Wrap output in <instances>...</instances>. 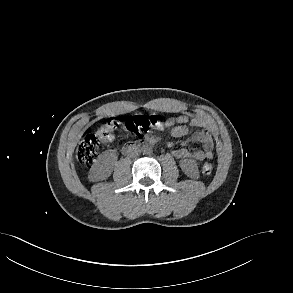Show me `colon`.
Wrapping results in <instances>:
<instances>
[{
    "mask_svg": "<svg viewBox=\"0 0 293 293\" xmlns=\"http://www.w3.org/2000/svg\"><path fill=\"white\" fill-rule=\"evenodd\" d=\"M156 115H133L124 122L123 130L134 136H139L160 124ZM119 121L113 118L107 119L97 134H88L82 140L79 146V160L90 165L98 156L101 144L112 143L115 139L113 133L118 128ZM202 173L209 175L213 171V166L209 163L204 164Z\"/></svg>",
    "mask_w": 293,
    "mask_h": 293,
    "instance_id": "5ec220e1",
    "label": "colon"
}]
</instances>
